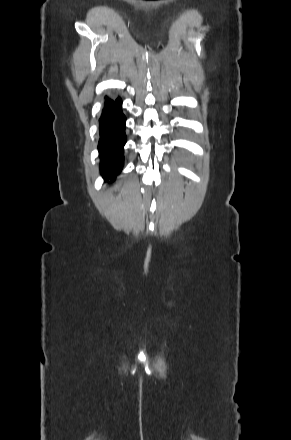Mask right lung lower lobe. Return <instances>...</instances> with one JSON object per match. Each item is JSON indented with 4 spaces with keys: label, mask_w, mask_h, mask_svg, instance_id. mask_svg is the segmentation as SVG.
I'll list each match as a JSON object with an SVG mask.
<instances>
[{
    "label": "right lung lower lobe",
    "mask_w": 291,
    "mask_h": 440,
    "mask_svg": "<svg viewBox=\"0 0 291 440\" xmlns=\"http://www.w3.org/2000/svg\"><path fill=\"white\" fill-rule=\"evenodd\" d=\"M121 99L106 98L100 119V140L98 150L101 158L100 169L106 180L114 179L122 169L123 146L126 143L125 116L121 111Z\"/></svg>",
    "instance_id": "right-lung-lower-lobe-1"
}]
</instances>
